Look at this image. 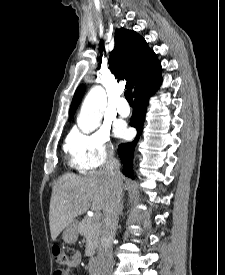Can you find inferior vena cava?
<instances>
[{"mask_svg":"<svg viewBox=\"0 0 225 275\" xmlns=\"http://www.w3.org/2000/svg\"><path fill=\"white\" fill-rule=\"evenodd\" d=\"M102 172L107 177L108 192L103 213L101 238L98 246L96 275H112V241L117 229L121 199L123 196L120 164L114 158L113 152H110Z\"/></svg>","mask_w":225,"mask_h":275,"instance_id":"1","label":"inferior vena cava"}]
</instances>
